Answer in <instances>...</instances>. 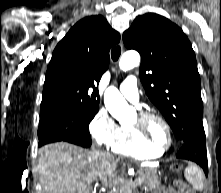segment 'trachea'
<instances>
[{"instance_id":"trachea-1","label":"trachea","mask_w":221,"mask_h":193,"mask_svg":"<svg viewBox=\"0 0 221 193\" xmlns=\"http://www.w3.org/2000/svg\"><path fill=\"white\" fill-rule=\"evenodd\" d=\"M121 54V48L119 46L114 47L111 51V57L113 61H117L120 57Z\"/></svg>"}]
</instances>
